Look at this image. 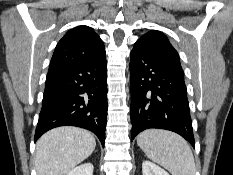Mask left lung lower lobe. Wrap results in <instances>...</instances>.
Wrapping results in <instances>:
<instances>
[{
    "label": "left lung lower lobe",
    "mask_w": 233,
    "mask_h": 175,
    "mask_svg": "<svg viewBox=\"0 0 233 175\" xmlns=\"http://www.w3.org/2000/svg\"><path fill=\"white\" fill-rule=\"evenodd\" d=\"M131 139L148 128L166 129L195 145L182 68L134 44L130 54Z\"/></svg>",
    "instance_id": "obj_1"
}]
</instances>
